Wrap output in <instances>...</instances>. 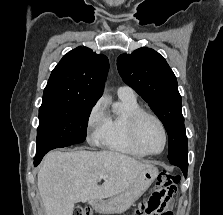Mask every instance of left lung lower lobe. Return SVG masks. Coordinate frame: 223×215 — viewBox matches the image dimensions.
<instances>
[{
    "mask_svg": "<svg viewBox=\"0 0 223 215\" xmlns=\"http://www.w3.org/2000/svg\"><path fill=\"white\" fill-rule=\"evenodd\" d=\"M172 165H175V166H178L182 172H183V175L185 177H187V169H188V163H177V162H170Z\"/></svg>",
    "mask_w": 223,
    "mask_h": 215,
    "instance_id": "1",
    "label": "left lung lower lobe"
}]
</instances>
